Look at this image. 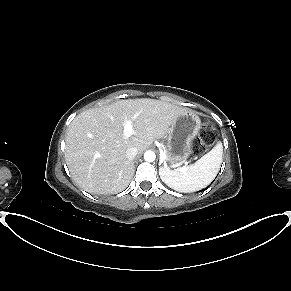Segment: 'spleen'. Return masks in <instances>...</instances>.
Wrapping results in <instances>:
<instances>
[{
    "instance_id": "1",
    "label": "spleen",
    "mask_w": 291,
    "mask_h": 291,
    "mask_svg": "<svg viewBox=\"0 0 291 291\" xmlns=\"http://www.w3.org/2000/svg\"><path fill=\"white\" fill-rule=\"evenodd\" d=\"M222 151V144L218 143L194 164L174 170L160 168L159 175L165 184L176 191L188 193L201 190L216 177L222 163Z\"/></svg>"
}]
</instances>
